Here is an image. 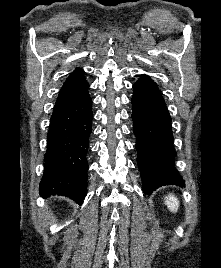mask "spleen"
Instances as JSON below:
<instances>
[{"instance_id": "obj_1", "label": "spleen", "mask_w": 221, "mask_h": 268, "mask_svg": "<svg viewBox=\"0 0 221 268\" xmlns=\"http://www.w3.org/2000/svg\"><path fill=\"white\" fill-rule=\"evenodd\" d=\"M165 204L171 212L176 213L178 211L179 201L173 194H170L165 198Z\"/></svg>"}]
</instances>
